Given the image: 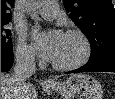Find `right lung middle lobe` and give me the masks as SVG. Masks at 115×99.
Listing matches in <instances>:
<instances>
[{
	"label": "right lung middle lobe",
	"mask_w": 115,
	"mask_h": 99,
	"mask_svg": "<svg viewBox=\"0 0 115 99\" xmlns=\"http://www.w3.org/2000/svg\"><path fill=\"white\" fill-rule=\"evenodd\" d=\"M8 23H1V55L13 54L11 31L6 28Z\"/></svg>",
	"instance_id": "dd1d6c3e"
}]
</instances>
